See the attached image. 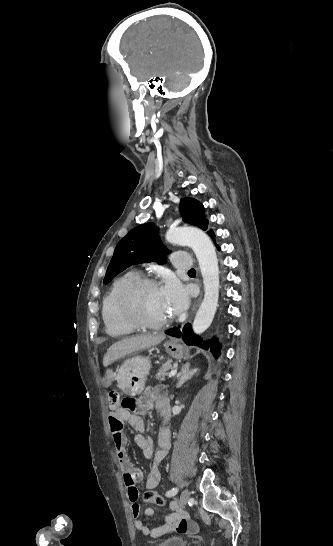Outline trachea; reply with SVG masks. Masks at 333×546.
Listing matches in <instances>:
<instances>
[{"label":"trachea","instance_id":"obj_1","mask_svg":"<svg viewBox=\"0 0 333 546\" xmlns=\"http://www.w3.org/2000/svg\"><path fill=\"white\" fill-rule=\"evenodd\" d=\"M188 272H189V273H195L196 271H195L194 268H192V269H190Z\"/></svg>","mask_w":333,"mask_h":546}]
</instances>
